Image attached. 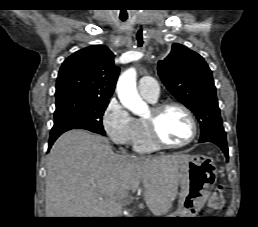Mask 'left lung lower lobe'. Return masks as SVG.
<instances>
[{"label": "left lung lower lobe", "mask_w": 258, "mask_h": 227, "mask_svg": "<svg viewBox=\"0 0 258 227\" xmlns=\"http://www.w3.org/2000/svg\"><path fill=\"white\" fill-rule=\"evenodd\" d=\"M216 145H218L222 151L224 152L226 159L228 160L229 155H228V148H227V142H222V141H210Z\"/></svg>", "instance_id": "left-lung-lower-lobe-1"}]
</instances>
